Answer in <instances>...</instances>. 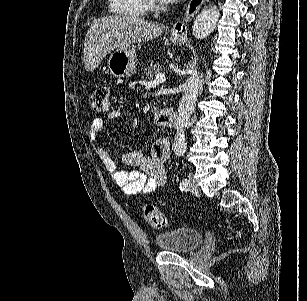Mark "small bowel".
I'll use <instances>...</instances> for the list:
<instances>
[{"mask_svg":"<svg viewBox=\"0 0 307 301\" xmlns=\"http://www.w3.org/2000/svg\"><path fill=\"white\" fill-rule=\"evenodd\" d=\"M121 116V110L113 109L108 114V119H119ZM103 127V119L95 118L92 121L89 130L92 141L98 140ZM97 155L114 182L127 195L149 194L161 188L166 181L165 164L169 157V142L166 139H160L154 143L151 156H145L138 151H131L124 155V162L138 170H120L103 148L97 150Z\"/></svg>","mask_w":307,"mask_h":301,"instance_id":"c3829d8e","label":"small bowel"}]
</instances>
